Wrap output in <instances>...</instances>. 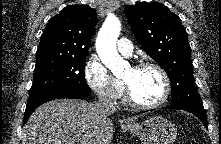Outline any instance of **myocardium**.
Masks as SVG:
<instances>
[{
    "label": "myocardium",
    "instance_id": "1",
    "mask_svg": "<svg viewBox=\"0 0 221 144\" xmlns=\"http://www.w3.org/2000/svg\"><path fill=\"white\" fill-rule=\"evenodd\" d=\"M145 68H154L161 75L163 83H164V91H163L162 97L154 103H141L135 99L129 84L126 81H124L125 88H126V97H127L128 102L136 108L155 109V108L162 106L168 100L170 93H171V82H170V78L167 72L164 70V68L161 65H159L156 62L143 61L133 66L134 70H142Z\"/></svg>",
    "mask_w": 221,
    "mask_h": 144
}]
</instances>
